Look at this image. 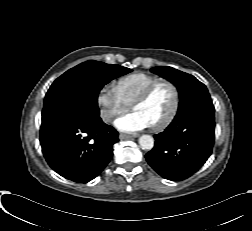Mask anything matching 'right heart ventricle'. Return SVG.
<instances>
[{"instance_id":"1","label":"right heart ventricle","mask_w":252,"mask_h":231,"mask_svg":"<svg viewBox=\"0 0 252 231\" xmlns=\"http://www.w3.org/2000/svg\"><path fill=\"white\" fill-rule=\"evenodd\" d=\"M158 77L146 73H133L120 78L116 87L121 97L128 103L132 102L142 93V91Z\"/></svg>"}]
</instances>
